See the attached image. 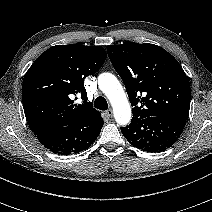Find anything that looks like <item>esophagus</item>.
Masks as SVG:
<instances>
[{
	"mask_svg": "<svg viewBox=\"0 0 212 212\" xmlns=\"http://www.w3.org/2000/svg\"><path fill=\"white\" fill-rule=\"evenodd\" d=\"M106 115H107L108 117H112V116H113V111H112V109H108V110L106 111Z\"/></svg>",
	"mask_w": 212,
	"mask_h": 212,
	"instance_id": "esophagus-1",
	"label": "esophagus"
}]
</instances>
